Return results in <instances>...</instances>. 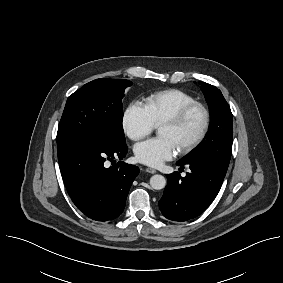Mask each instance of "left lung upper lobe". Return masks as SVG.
Segmentation results:
<instances>
[{
    "label": "left lung upper lobe",
    "instance_id": "obj_1",
    "mask_svg": "<svg viewBox=\"0 0 283 283\" xmlns=\"http://www.w3.org/2000/svg\"><path fill=\"white\" fill-rule=\"evenodd\" d=\"M208 103L211 123L203 142L181 162L208 161L228 169L233 141L232 113L221 91L208 83L201 87Z\"/></svg>",
    "mask_w": 283,
    "mask_h": 283
}]
</instances>
